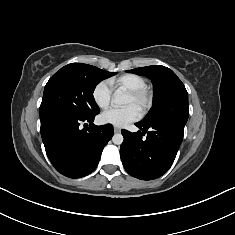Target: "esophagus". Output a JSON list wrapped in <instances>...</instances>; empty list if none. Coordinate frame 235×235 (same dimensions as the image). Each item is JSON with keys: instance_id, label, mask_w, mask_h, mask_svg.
Instances as JSON below:
<instances>
[{"instance_id": "obj_1", "label": "esophagus", "mask_w": 235, "mask_h": 235, "mask_svg": "<svg viewBox=\"0 0 235 235\" xmlns=\"http://www.w3.org/2000/svg\"><path fill=\"white\" fill-rule=\"evenodd\" d=\"M121 131V129L120 128H118V127H114V132L115 133H119Z\"/></svg>"}]
</instances>
